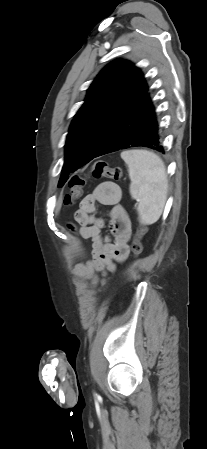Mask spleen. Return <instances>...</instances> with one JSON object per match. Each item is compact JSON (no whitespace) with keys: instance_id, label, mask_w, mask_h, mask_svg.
I'll list each match as a JSON object with an SVG mask.
<instances>
[{"instance_id":"1","label":"spleen","mask_w":207,"mask_h":449,"mask_svg":"<svg viewBox=\"0 0 207 449\" xmlns=\"http://www.w3.org/2000/svg\"><path fill=\"white\" fill-rule=\"evenodd\" d=\"M128 167L130 194L138 199L137 211L142 224L151 225L160 218L165 206L168 179L162 159L147 150H128L121 153Z\"/></svg>"}]
</instances>
